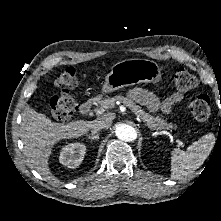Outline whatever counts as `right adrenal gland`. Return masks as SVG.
I'll return each mask as SVG.
<instances>
[{
    "instance_id": "1",
    "label": "right adrenal gland",
    "mask_w": 221,
    "mask_h": 221,
    "mask_svg": "<svg viewBox=\"0 0 221 221\" xmlns=\"http://www.w3.org/2000/svg\"><path fill=\"white\" fill-rule=\"evenodd\" d=\"M87 138L90 139V140H96V141H98V139H99V135H98V134H96V135H92V136L87 135Z\"/></svg>"
}]
</instances>
